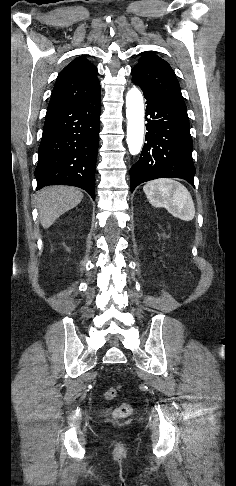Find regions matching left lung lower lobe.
I'll list each match as a JSON object with an SVG mask.
<instances>
[{
    "label": "left lung lower lobe",
    "mask_w": 236,
    "mask_h": 486,
    "mask_svg": "<svg viewBox=\"0 0 236 486\" xmlns=\"http://www.w3.org/2000/svg\"><path fill=\"white\" fill-rule=\"evenodd\" d=\"M138 85L146 98V141L139 160L130 169L131 192L157 178H182L194 186L193 142L187 111Z\"/></svg>",
    "instance_id": "1"
}]
</instances>
